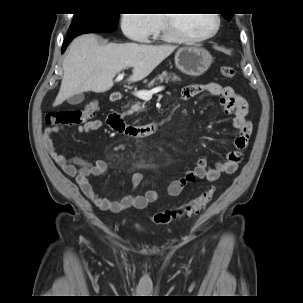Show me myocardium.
Listing matches in <instances>:
<instances>
[{
    "instance_id": "f54148a6",
    "label": "myocardium",
    "mask_w": 303,
    "mask_h": 303,
    "mask_svg": "<svg viewBox=\"0 0 303 303\" xmlns=\"http://www.w3.org/2000/svg\"><path fill=\"white\" fill-rule=\"evenodd\" d=\"M181 14H163V21H164V28L166 34L172 38L175 41L179 42H189V43H194V42H201L208 40L212 38L219 30L220 25H221V18L220 15L217 13L212 14L215 19V25L214 28L201 36H190L185 34L184 32L180 31L175 27V20L178 19L177 16Z\"/></svg>"
}]
</instances>
